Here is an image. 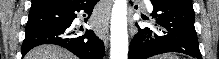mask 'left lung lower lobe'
<instances>
[{"mask_svg":"<svg viewBox=\"0 0 219 59\" xmlns=\"http://www.w3.org/2000/svg\"><path fill=\"white\" fill-rule=\"evenodd\" d=\"M151 3L154 7L151 16L159 29L138 26L139 33L130 43L128 59H147L168 52L202 59L192 0H151Z\"/></svg>","mask_w":219,"mask_h":59,"instance_id":"0a47b994","label":"left lung lower lobe"}]
</instances>
